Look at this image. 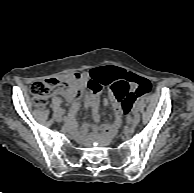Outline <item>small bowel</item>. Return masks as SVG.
<instances>
[{
  "mask_svg": "<svg viewBox=\"0 0 194 193\" xmlns=\"http://www.w3.org/2000/svg\"><path fill=\"white\" fill-rule=\"evenodd\" d=\"M126 75V72L123 69L117 67H97L91 69L86 72L82 79L79 82V86L84 92V105L86 108H89L92 112L93 118L96 122L100 121L99 107L100 101L96 92H94L90 85L92 82L101 83V84H109L112 81L116 80L120 76ZM70 89H58L55 94L57 96L64 97L66 99V103L70 108V112L72 114H76L80 107V100L73 98L69 95ZM134 94H136L137 89H135ZM108 102L105 100L103 105L106 106ZM122 117V107L119 105L115 106V118L111 124H101L98 127H93L88 124L82 126L81 129L77 130L74 124L69 125V128L75 132V135L79 139H83L88 133L89 129L92 128L96 133H98V138L101 141H109L117 129L120 126Z\"/></svg>",
  "mask_w": 194,
  "mask_h": 193,
  "instance_id": "1",
  "label": "small bowel"
}]
</instances>
